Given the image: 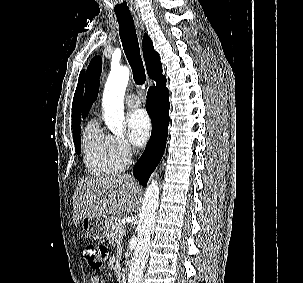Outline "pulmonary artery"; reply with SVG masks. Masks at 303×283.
<instances>
[{"label": "pulmonary artery", "instance_id": "1", "mask_svg": "<svg viewBox=\"0 0 303 283\" xmlns=\"http://www.w3.org/2000/svg\"><path fill=\"white\" fill-rule=\"evenodd\" d=\"M125 102H126V105L130 108H137L141 104L139 97L135 94L128 95L126 97Z\"/></svg>", "mask_w": 303, "mask_h": 283}]
</instances>
